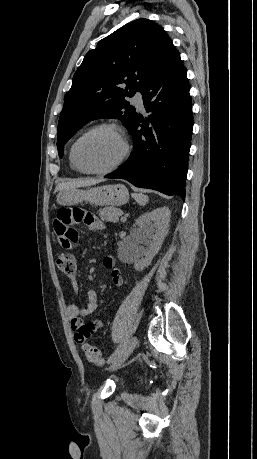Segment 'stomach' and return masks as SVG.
<instances>
[{
  "label": "stomach",
  "instance_id": "0dacf381",
  "mask_svg": "<svg viewBox=\"0 0 257 459\" xmlns=\"http://www.w3.org/2000/svg\"><path fill=\"white\" fill-rule=\"evenodd\" d=\"M128 199V190L122 184L98 186L87 190L73 188L60 191L57 196L60 205H74L86 201L97 206H118L125 204Z\"/></svg>",
  "mask_w": 257,
  "mask_h": 459
}]
</instances>
